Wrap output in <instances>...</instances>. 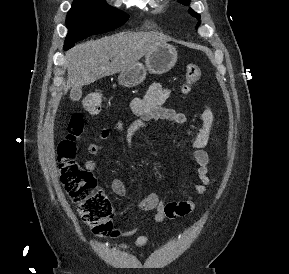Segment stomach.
Masks as SVG:
<instances>
[{
  "label": "stomach",
  "instance_id": "1",
  "mask_svg": "<svg viewBox=\"0 0 289 274\" xmlns=\"http://www.w3.org/2000/svg\"><path fill=\"white\" fill-rule=\"evenodd\" d=\"M176 62V49L168 43L161 44L145 55V65L137 62L122 71L118 76V82L124 87H135L144 81L147 71L153 74H164L170 71Z\"/></svg>",
  "mask_w": 289,
  "mask_h": 274
}]
</instances>
